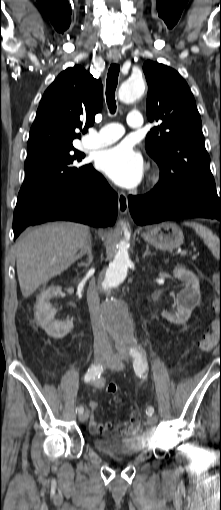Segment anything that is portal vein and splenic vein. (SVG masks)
<instances>
[{
	"label": "portal vein and splenic vein",
	"mask_w": 221,
	"mask_h": 510,
	"mask_svg": "<svg viewBox=\"0 0 221 510\" xmlns=\"http://www.w3.org/2000/svg\"><path fill=\"white\" fill-rule=\"evenodd\" d=\"M183 253L185 254L186 252H183ZM196 258H197V256H196V255H193V256H192V259H196Z\"/></svg>",
	"instance_id": "obj_1"
}]
</instances>
